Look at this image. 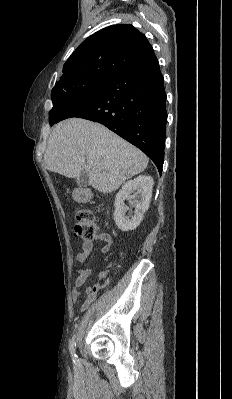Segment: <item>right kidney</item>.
Segmentation results:
<instances>
[{"instance_id":"ca27d5eb","label":"right kidney","mask_w":232,"mask_h":399,"mask_svg":"<svg viewBox=\"0 0 232 399\" xmlns=\"http://www.w3.org/2000/svg\"><path fill=\"white\" fill-rule=\"evenodd\" d=\"M153 184L151 176H137L135 180H129L122 186L114 201V219L119 229L129 231L141 223L144 213L149 207ZM125 200H129V203L134 205L133 215L132 213L125 215L126 209H128L124 203Z\"/></svg>"}]
</instances>
